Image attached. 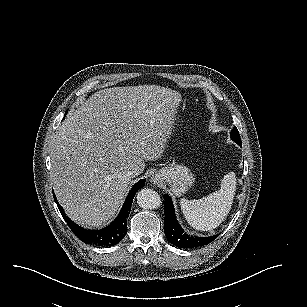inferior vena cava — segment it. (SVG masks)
<instances>
[{
	"label": "inferior vena cava",
	"instance_id": "obj_1",
	"mask_svg": "<svg viewBox=\"0 0 307 307\" xmlns=\"http://www.w3.org/2000/svg\"><path fill=\"white\" fill-rule=\"evenodd\" d=\"M137 175V173L135 171H129L127 173V177L128 178H134Z\"/></svg>",
	"mask_w": 307,
	"mask_h": 307
}]
</instances>
